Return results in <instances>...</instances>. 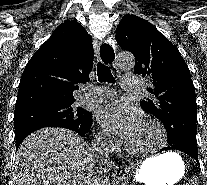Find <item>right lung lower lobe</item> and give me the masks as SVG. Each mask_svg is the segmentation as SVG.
I'll return each instance as SVG.
<instances>
[{"label": "right lung lower lobe", "mask_w": 207, "mask_h": 185, "mask_svg": "<svg viewBox=\"0 0 207 185\" xmlns=\"http://www.w3.org/2000/svg\"><path fill=\"white\" fill-rule=\"evenodd\" d=\"M92 126V123L82 127V128H67L70 129L72 131L77 132L79 135H81L82 137H84L86 135V133L89 132L90 128ZM30 133L27 134H23L20 137L16 138V149H18L19 145L21 144V142L29 135Z\"/></svg>", "instance_id": "obj_1"}]
</instances>
